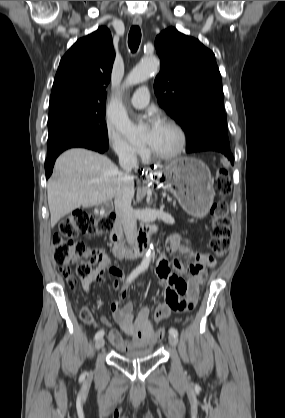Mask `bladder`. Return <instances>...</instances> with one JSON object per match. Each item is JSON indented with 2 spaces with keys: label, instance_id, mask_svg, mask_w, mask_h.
Listing matches in <instances>:
<instances>
[{
  "label": "bladder",
  "instance_id": "bladder-1",
  "mask_svg": "<svg viewBox=\"0 0 285 418\" xmlns=\"http://www.w3.org/2000/svg\"><path fill=\"white\" fill-rule=\"evenodd\" d=\"M152 352H153L152 347H145V348L133 347L121 355L125 358H140V357L150 356L152 355Z\"/></svg>",
  "mask_w": 285,
  "mask_h": 418
}]
</instances>
